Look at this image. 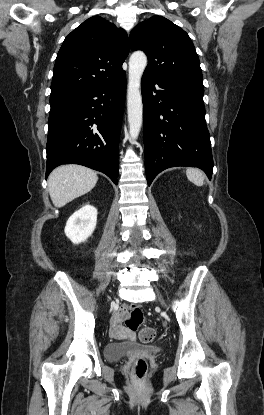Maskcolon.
<instances>
[{
	"label": "colon",
	"mask_w": 264,
	"mask_h": 415,
	"mask_svg": "<svg viewBox=\"0 0 264 415\" xmlns=\"http://www.w3.org/2000/svg\"><path fill=\"white\" fill-rule=\"evenodd\" d=\"M144 313L140 306H133L130 309V316L126 320V325L130 329H136L143 321ZM156 336V331L152 327H143L140 330L139 338L143 343H151ZM148 368L147 361L139 358L134 364V376L137 381H142L146 375Z\"/></svg>",
	"instance_id": "5ec220e1"
}]
</instances>
